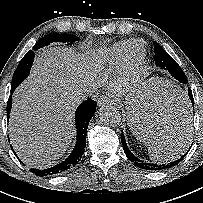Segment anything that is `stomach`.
Masks as SVG:
<instances>
[{
	"label": "stomach",
	"mask_w": 203,
	"mask_h": 203,
	"mask_svg": "<svg viewBox=\"0 0 203 203\" xmlns=\"http://www.w3.org/2000/svg\"><path fill=\"white\" fill-rule=\"evenodd\" d=\"M141 95V97L143 98V94H140ZM133 99H134V97H128L127 98V101H126V105H127V108H128V106H130V109L128 108L127 109V113H132V111L136 108V106H137V104L136 105H134L133 104ZM144 99V98H143ZM142 99V100H143ZM137 132H139L140 133V131L139 130H136Z\"/></svg>",
	"instance_id": "0dacf381"
}]
</instances>
